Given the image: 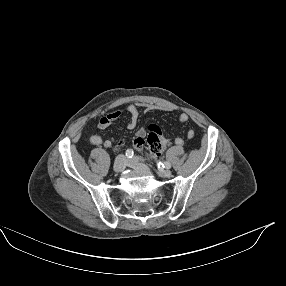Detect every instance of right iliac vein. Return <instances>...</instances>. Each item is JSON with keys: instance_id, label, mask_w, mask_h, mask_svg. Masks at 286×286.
<instances>
[{"instance_id": "63e3f726", "label": "right iliac vein", "mask_w": 286, "mask_h": 286, "mask_svg": "<svg viewBox=\"0 0 286 286\" xmlns=\"http://www.w3.org/2000/svg\"><path fill=\"white\" fill-rule=\"evenodd\" d=\"M127 165V160L123 155H119L113 165V170L116 173H121L124 171L125 167Z\"/></svg>"}]
</instances>
